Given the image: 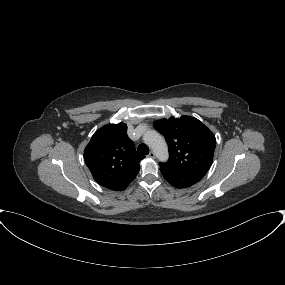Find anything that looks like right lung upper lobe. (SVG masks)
Returning a JSON list of instances; mask_svg holds the SVG:
<instances>
[{
    "mask_svg": "<svg viewBox=\"0 0 285 285\" xmlns=\"http://www.w3.org/2000/svg\"><path fill=\"white\" fill-rule=\"evenodd\" d=\"M144 158L127 136L124 123L108 124L97 130L84 151V160L93 178L103 187L122 191L139 172Z\"/></svg>",
    "mask_w": 285,
    "mask_h": 285,
    "instance_id": "cb5924a9",
    "label": "right lung upper lobe"
}]
</instances>
